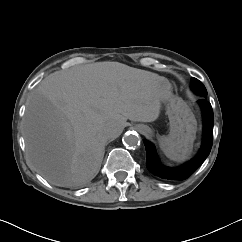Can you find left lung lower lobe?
<instances>
[{
	"label": "left lung lower lobe",
	"instance_id": "0a47b994",
	"mask_svg": "<svg viewBox=\"0 0 242 242\" xmlns=\"http://www.w3.org/2000/svg\"><path fill=\"white\" fill-rule=\"evenodd\" d=\"M198 103L202 108L204 121L203 141L198 154L182 166L166 167L158 159L154 145L149 141H144L147 153L146 166L154 175L168 180L187 179L209 155L213 138V110L211 104L205 98L198 100Z\"/></svg>",
	"mask_w": 242,
	"mask_h": 242
}]
</instances>
